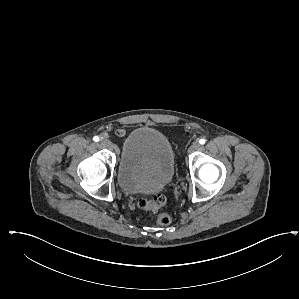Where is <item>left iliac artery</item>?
Masks as SVG:
<instances>
[{"label":"left iliac artery","mask_w":299,"mask_h":299,"mask_svg":"<svg viewBox=\"0 0 299 299\" xmlns=\"http://www.w3.org/2000/svg\"><path fill=\"white\" fill-rule=\"evenodd\" d=\"M205 142H206V140L203 139V138L199 140V143H200L201 145L205 144Z\"/></svg>","instance_id":"1"}]
</instances>
